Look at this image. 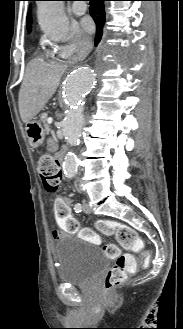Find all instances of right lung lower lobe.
<instances>
[{
    "label": "right lung lower lobe",
    "mask_w": 183,
    "mask_h": 329,
    "mask_svg": "<svg viewBox=\"0 0 183 329\" xmlns=\"http://www.w3.org/2000/svg\"><path fill=\"white\" fill-rule=\"evenodd\" d=\"M104 1L106 0H90L89 12L96 23V36L95 45L100 42L103 33V26L105 24V6Z\"/></svg>",
    "instance_id": "1"
}]
</instances>
